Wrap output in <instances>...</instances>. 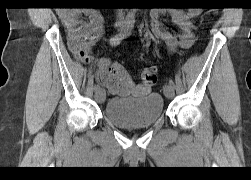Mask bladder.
<instances>
[{
    "label": "bladder",
    "mask_w": 251,
    "mask_h": 180,
    "mask_svg": "<svg viewBox=\"0 0 251 180\" xmlns=\"http://www.w3.org/2000/svg\"><path fill=\"white\" fill-rule=\"evenodd\" d=\"M164 100L158 93L140 98H110L105 106V117L122 128L148 127L162 116Z\"/></svg>",
    "instance_id": "bladder-1"
}]
</instances>
